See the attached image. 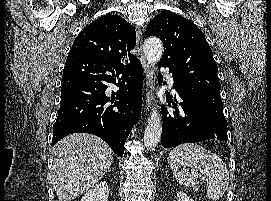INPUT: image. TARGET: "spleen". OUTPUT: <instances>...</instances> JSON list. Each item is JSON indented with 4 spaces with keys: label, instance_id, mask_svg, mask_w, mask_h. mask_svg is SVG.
Here are the masks:
<instances>
[{
    "label": "spleen",
    "instance_id": "obj_1",
    "mask_svg": "<svg viewBox=\"0 0 271 201\" xmlns=\"http://www.w3.org/2000/svg\"><path fill=\"white\" fill-rule=\"evenodd\" d=\"M168 163L173 175L180 184L196 188L197 178L206 176L207 198L217 200L228 190L229 171L221 158L196 143H184L175 147L168 156ZM180 166L190 167L191 172L179 169Z\"/></svg>",
    "mask_w": 271,
    "mask_h": 201
}]
</instances>
